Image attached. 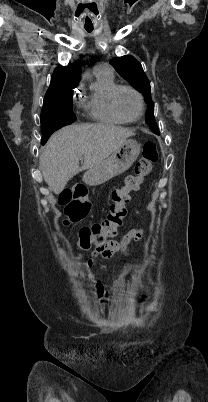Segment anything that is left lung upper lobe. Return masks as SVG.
Returning <instances> with one entry per match:
<instances>
[{
    "mask_svg": "<svg viewBox=\"0 0 208 402\" xmlns=\"http://www.w3.org/2000/svg\"><path fill=\"white\" fill-rule=\"evenodd\" d=\"M110 64L131 85L140 90L148 103L147 123L155 134H160L154 117V104L151 99L150 82L141 64L131 55L113 58Z\"/></svg>",
    "mask_w": 208,
    "mask_h": 402,
    "instance_id": "1",
    "label": "left lung upper lobe"
}]
</instances>
